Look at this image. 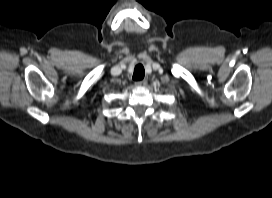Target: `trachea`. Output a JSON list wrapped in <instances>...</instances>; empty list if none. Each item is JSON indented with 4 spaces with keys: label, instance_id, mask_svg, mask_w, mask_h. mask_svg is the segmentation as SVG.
I'll use <instances>...</instances> for the list:
<instances>
[{
    "label": "trachea",
    "instance_id": "obj_1",
    "mask_svg": "<svg viewBox=\"0 0 272 198\" xmlns=\"http://www.w3.org/2000/svg\"><path fill=\"white\" fill-rule=\"evenodd\" d=\"M144 68L142 65H137L134 70L133 79L135 81H140L144 78Z\"/></svg>",
    "mask_w": 272,
    "mask_h": 198
}]
</instances>
